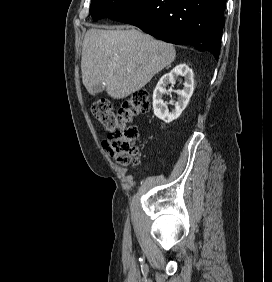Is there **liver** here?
I'll return each instance as SVG.
<instances>
[{
  "label": "liver",
  "mask_w": 272,
  "mask_h": 282,
  "mask_svg": "<svg viewBox=\"0 0 272 282\" xmlns=\"http://www.w3.org/2000/svg\"><path fill=\"white\" fill-rule=\"evenodd\" d=\"M175 57L173 45L134 28H92L83 41L82 82L92 95L94 86L104 84L110 97L123 99L144 87Z\"/></svg>",
  "instance_id": "obj_1"
}]
</instances>
